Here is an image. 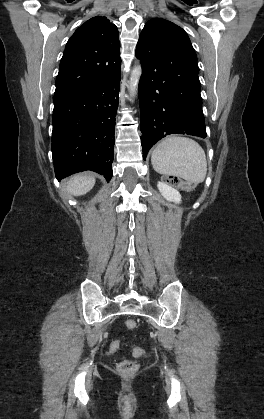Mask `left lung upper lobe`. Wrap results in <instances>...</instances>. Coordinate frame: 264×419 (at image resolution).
<instances>
[{
	"mask_svg": "<svg viewBox=\"0 0 264 419\" xmlns=\"http://www.w3.org/2000/svg\"><path fill=\"white\" fill-rule=\"evenodd\" d=\"M151 45L162 49L160 65L164 74L199 79L196 53L182 28L162 18L151 19L140 34L136 53Z\"/></svg>",
	"mask_w": 264,
	"mask_h": 419,
	"instance_id": "obj_1",
	"label": "left lung upper lobe"
}]
</instances>
